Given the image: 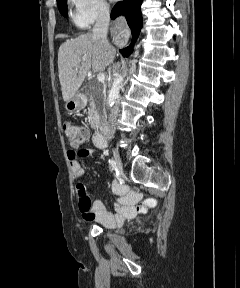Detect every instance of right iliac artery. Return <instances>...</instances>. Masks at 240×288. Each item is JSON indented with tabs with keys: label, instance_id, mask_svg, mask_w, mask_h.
<instances>
[{
	"label": "right iliac artery",
	"instance_id": "1",
	"mask_svg": "<svg viewBox=\"0 0 240 288\" xmlns=\"http://www.w3.org/2000/svg\"><path fill=\"white\" fill-rule=\"evenodd\" d=\"M109 162V166H110V168L112 169V170H114V168H115V162H114V160H109L108 161Z\"/></svg>",
	"mask_w": 240,
	"mask_h": 288
}]
</instances>
